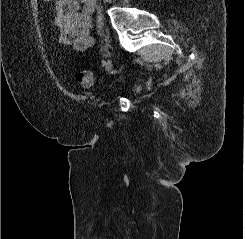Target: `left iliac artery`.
Segmentation results:
<instances>
[{
    "instance_id": "44dca946",
    "label": "left iliac artery",
    "mask_w": 245,
    "mask_h": 239,
    "mask_svg": "<svg viewBox=\"0 0 245 239\" xmlns=\"http://www.w3.org/2000/svg\"><path fill=\"white\" fill-rule=\"evenodd\" d=\"M106 64L105 60H102V66L104 67Z\"/></svg>"
}]
</instances>
